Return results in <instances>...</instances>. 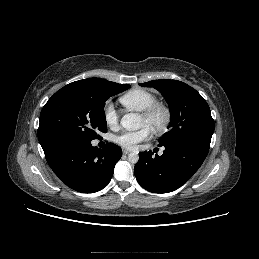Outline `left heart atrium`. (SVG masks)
Masks as SVG:
<instances>
[{"label":"left heart atrium","instance_id":"left-heart-atrium-1","mask_svg":"<svg viewBox=\"0 0 259 259\" xmlns=\"http://www.w3.org/2000/svg\"><path fill=\"white\" fill-rule=\"evenodd\" d=\"M151 136V129L147 126L135 131H123L115 136V142L128 150L137 148L138 144L147 140Z\"/></svg>","mask_w":259,"mask_h":259}]
</instances>
